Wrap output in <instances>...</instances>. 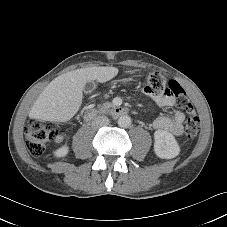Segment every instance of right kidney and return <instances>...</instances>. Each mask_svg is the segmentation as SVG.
Segmentation results:
<instances>
[{
	"label": "right kidney",
	"instance_id": "right-kidney-1",
	"mask_svg": "<svg viewBox=\"0 0 227 227\" xmlns=\"http://www.w3.org/2000/svg\"><path fill=\"white\" fill-rule=\"evenodd\" d=\"M68 152H69V147L67 145H64L58 148L56 151H54V155L56 157H64L68 154Z\"/></svg>",
	"mask_w": 227,
	"mask_h": 227
}]
</instances>
